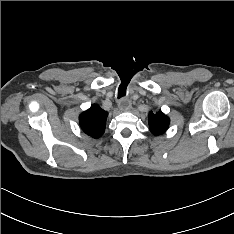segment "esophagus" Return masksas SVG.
Segmentation results:
<instances>
[{
    "mask_svg": "<svg viewBox=\"0 0 234 234\" xmlns=\"http://www.w3.org/2000/svg\"><path fill=\"white\" fill-rule=\"evenodd\" d=\"M119 108L123 111H128L131 108V102L129 100H121L118 104Z\"/></svg>",
    "mask_w": 234,
    "mask_h": 234,
    "instance_id": "esophagus-1",
    "label": "esophagus"
}]
</instances>
